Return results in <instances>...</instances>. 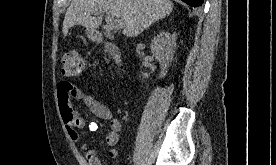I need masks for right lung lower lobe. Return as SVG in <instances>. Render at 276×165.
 Instances as JSON below:
<instances>
[{"label":"right lung lower lobe","instance_id":"obj_1","mask_svg":"<svg viewBox=\"0 0 276 165\" xmlns=\"http://www.w3.org/2000/svg\"><path fill=\"white\" fill-rule=\"evenodd\" d=\"M185 3H187L188 5L192 6V7H198L200 5H202L204 0H182Z\"/></svg>","mask_w":276,"mask_h":165}]
</instances>
